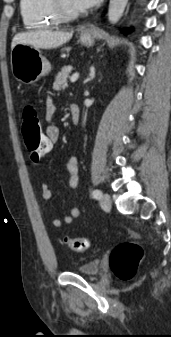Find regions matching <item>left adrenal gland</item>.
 <instances>
[{
    "instance_id": "a2214340",
    "label": "left adrenal gland",
    "mask_w": 171,
    "mask_h": 337,
    "mask_svg": "<svg viewBox=\"0 0 171 337\" xmlns=\"http://www.w3.org/2000/svg\"><path fill=\"white\" fill-rule=\"evenodd\" d=\"M89 76L90 77L86 80V82L94 79V77H95V69H94V67H91Z\"/></svg>"
}]
</instances>
